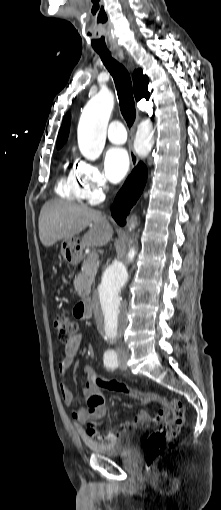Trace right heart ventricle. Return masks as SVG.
Returning a JSON list of instances; mask_svg holds the SVG:
<instances>
[{
    "label": "right heart ventricle",
    "mask_w": 221,
    "mask_h": 510,
    "mask_svg": "<svg viewBox=\"0 0 221 510\" xmlns=\"http://www.w3.org/2000/svg\"><path fill=\"white\" fill-rule=\"evenodd\" d=\"M55 191L60 197L69 201H77L80 199L76 188L74 170L62 174L57 182Z\"/></svg>",
    "instance_id": "right-heart-ventricle-1"
}]
</instances>
